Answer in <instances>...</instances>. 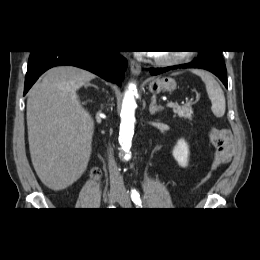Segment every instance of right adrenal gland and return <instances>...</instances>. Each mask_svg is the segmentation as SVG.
<instances>
[{
  "label": "right adrenal gland",
  "mask_w": 260,
  "mask_h": 260,
  "mask_svg": "<svg viewBox=\"0 0 260 260\" xmlns=\"http://www.w3.org/2000/svg\"><path fill=\"white\" fill-rule=\"evenodd\" d=\"M85 87H94V88L98 89V87L96 85H93V84H90V83H87V85H85Z\"/></svg>",
  "instance_id": "obj_1"
}]
</instances>
